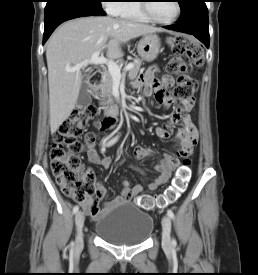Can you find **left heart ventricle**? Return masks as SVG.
Listing matches in <instances>:
<instances>
[{
	"label": "left heart ventricle",
	"instance_id": "left-heart-ventricle-1",
	"mask_svg": "<svg viewBox=\"0 0 258 275\" xmlns=\"http://www.w3.org/2000/svg\"><path fill=\"white\" fill-rule=\"evenodd\" d=\"M151 13L158 19L166 21L176 14V4L171 0L153 1L150 3Z\"/></svg>",
	"mask_w": 258,
	"mask_h": 275
}]
</instances>
